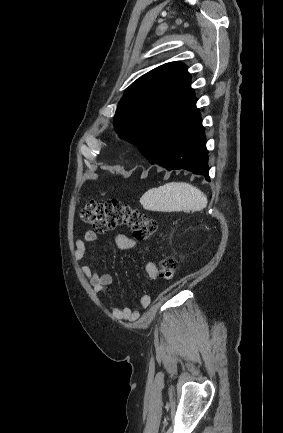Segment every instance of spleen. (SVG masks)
Listing matches in <instances>:
<instances>
[{"mask_svg":"<svg viewBox=\"0 0 283 433\" xmlns=\"http://www.w3.org/2000/svg\"><path fill=\"white\" fill-rule=\"evenodd\" d=\"M146 210H203L207 196L189 182H167L158 188H150L140 198Z\"/></svg>","mask_w":283,"mask_h":433,"instance_id":"obj_1","label":"spleen"}]
</instances>
